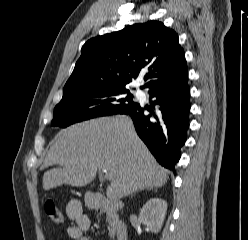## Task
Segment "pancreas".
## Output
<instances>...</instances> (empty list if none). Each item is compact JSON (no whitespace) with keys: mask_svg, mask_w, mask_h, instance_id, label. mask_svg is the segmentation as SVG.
<instances>
[{"mask_svg":"<svg viewBox=\"0 0 248 240\" xmlns=\"http://www.w3.org/2000/svg\"><path fill=\"white\" fill-rule=\"evenodd\" d=\"M107 220H108V222H109V227H108L109 235H110L111 237H113V236L115 235V233H116V229H115V227L112 226V215L109 214V215L107 216Z\"/></svg>","mask_w":248,"mask_h":240,"instance_id":"cf45deb5","label":"pancreas"}]
</instances>
